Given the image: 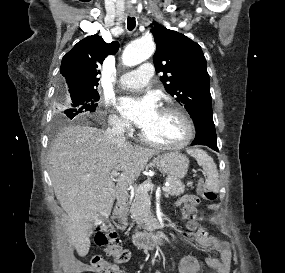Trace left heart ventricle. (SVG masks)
Returning <instances> with one entry per match:
<instances>
[{"instance_id": "b2bd125f", "label": "left heart ventricle", "mask_w": 285, "mask_h": 273, "mask_svg": "<svg viewBox=\"0 0 285 273\" xmlns=\"http://www.w3.org/2000/svg\"><path fill=\"white\" fill-rule=\"evenodd\" d=\"M142 131L155 142L175 143L184 137L185 126L175 113L159 110L155 119Z\"/></svg>"}]
</instances>
